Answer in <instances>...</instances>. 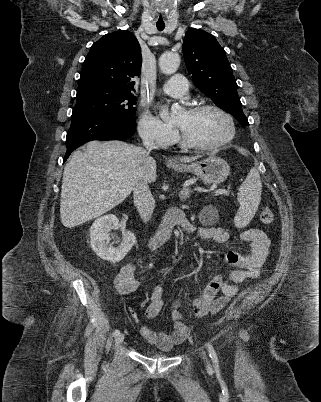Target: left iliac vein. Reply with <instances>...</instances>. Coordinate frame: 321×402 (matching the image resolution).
I'll use <instances>...</instances> for the list:
<instances>
[{
    "mask_svg": "<svg viewBox=\"0 0 321 402\" xmlns=\"http://www.w3.org/2000/svg\"><path fill=\"white\" fill-rule=\"evenodd\" d=\"M202 357H203V359L205 360V362H206V363H208V361H207V357H206V355H205V353H204V352H202Z\"/></svg>",
    "mask_w": 321,
    "mask_h": 402,
    "instance_id": "left-iliac-vein-1",
    "label": "left iliac vein"
}]
</instances>
